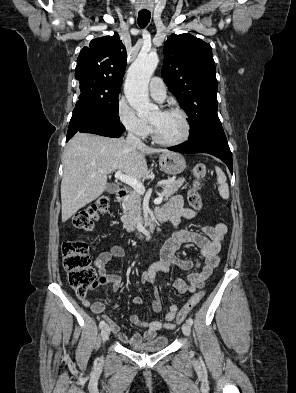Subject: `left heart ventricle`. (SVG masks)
Masks as SVG:
<instances>
[{"mask_svg": "<svg viewBox=\"0 0 296 393\" xmlns=\"http://www.w3.org/2000/svg\"><path fill=\"white\" fill-rule=\"evenodd\" d=\"M154 124L158 136L165 141H175L184 134V123L182 117L176 113H163L156 111L150 118Z\"/></svg>", "mask_w": 296, "mask_h": 393, "instance_id": "obj_1", "label": "left heart ventricle"}]
</instances>
